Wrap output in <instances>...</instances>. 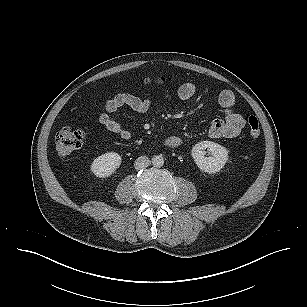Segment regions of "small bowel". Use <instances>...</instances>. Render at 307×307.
Wrapping results in <instances>:
<instances>
[{"mask_svg": "<svg viewBox=\"0 0 307 307\" xmlns=\"http://www.w3.org/2000/svg\"><path fill=\"white\" fill-rule=\"evenodd\" d=\"M196 93V86L191 82L183 83L178 89V96L182 100L191 99ZM218 103L224 111L223 119H214L209 127L208 133L212 138H235L243 126L244 118L236 109L234 94L229 90L222 91L218 96ZM126 106L138 113H146L150 110L152 103L149 99L140 98L129 92H122L106 101L104 111L99 115V123L109 132L118 135L122 140L129 141L132 133L123 128L119 122L111 117V113ZM181 139L177 136H169L165 139L168 147H178Z\"/></svg>", "mask_w": 307, "mask_h": 307, "instance_id": "c3829d8e", "label": "small bowel"}]
</instances>
